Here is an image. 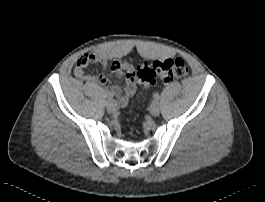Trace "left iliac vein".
Here are the masks:
<instances>
[{"mask_svg":"<svg viewBox=\"0 0 265 202\" xmlns=\"http://www.w3.org/2000/svg\"><path fill=\"white\" fill-rule=\"evenodd\" d=\"M159 112H160L159 103L158 102H153L150 105V113L153 116H157L159 114Z\"/></svg>","mask_w":265,"mask_h":202,"instance_id":"left-iliac-vein-1","label":"left iliac vein"}]
</instances>
